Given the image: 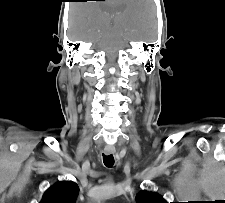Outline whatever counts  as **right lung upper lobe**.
<instances>
[{
	"instance_id": "right-lung-upper-lobe-1",
	"label": "right lung upper lobe",
	"mask_w": 225,
	"mask_h": 203,
	"mask_svg": "<svg viewBox=\"0 0 225 203\" xmlns=\"http://www.w3.org/2000/svg\"><path fill=\"white\" fill-rule=\"evenodd\" d=\"M79 187L74 182H58L43 195L40 203H75Z\"/></svg>"
}]
</instances>
